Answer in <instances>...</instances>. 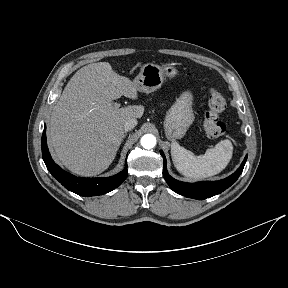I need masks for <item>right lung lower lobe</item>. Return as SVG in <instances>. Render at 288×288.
<instances>
[{
    "label": "right lung lower lobe",
    "instance_id": "1",
    "mask_svg": "<svg viewBox=\"0 0 288 288\" xmlns=\"http://www.w3.org/2000/svg\"><path fill=\"white\" fill-rule=\"evenodd\" d=\"M42 157L49 172L66 189L80 196L103 195L117 188L127 177V162L122 172L107 178H82L76 177L61 169L51 158L47 147L46 126L41 139Z\"/></svg>",
    "mask_w": 288,
    "mask_h": 288
}]
</instances>
